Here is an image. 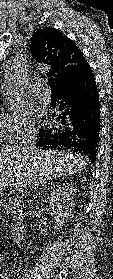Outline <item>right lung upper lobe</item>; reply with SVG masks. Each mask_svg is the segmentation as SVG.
<instances>
[{
    "instance_id": "1",
    "label": "right lung upper lobe",
    "mask_w": 113,
    "mask_h": 279,
    "mask_svg": "<svg viewBox=\"0 0 113 279\" xmlns=\"http://www.w3.org/2000/svg\"><path fill=\"white\" fill-rule=\"evenodd\" d=\"M32 54L37 62L51 66L57 89L80 77L89 66L75 43L54 28L38 30L31 40Z\"/></svg>"
}]
</instances>
